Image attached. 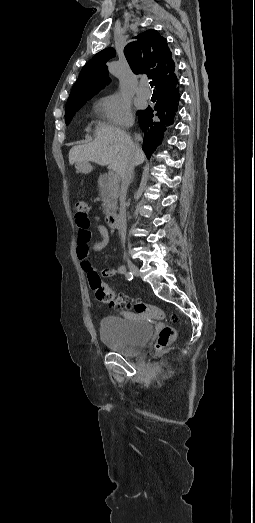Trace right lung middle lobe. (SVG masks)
<instances>
[{"label":"right lung middle lobe","instance_id":"obj_1","mask_svg":"<svg viewBox=\"0 0 255 523\" xmlns=\"http://www.w3.org/2000/svg\"><path fill=\"white\" fill-rule=\"evenodd\" d=\"M86 102L80 103H67L65 106V122L68 125L72 120L75 113L85 104Z\"/></svg>","mask_w":255,"mask_h":523}]
</instances>
